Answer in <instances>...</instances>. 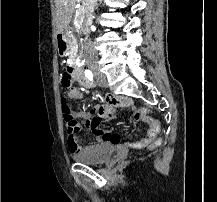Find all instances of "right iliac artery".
Listing matches in <instances>:
<instances>
[{
  "label": "right iliac artery",
  "mask_w": 217,
  "mask_h": 202,
  "mask_svg": "<svg viewBox=\"0 0 217 202\" xmlns=\"http://www.w3.org/2000/svg\"><path fill=\"white\" fill-rule=\"evenodd\" d=\"M85 75L90 81L93 80V74L90 70L85 71Z\"/></svg>",
  "instance_id": "82829eb1"
}]
</instances>
